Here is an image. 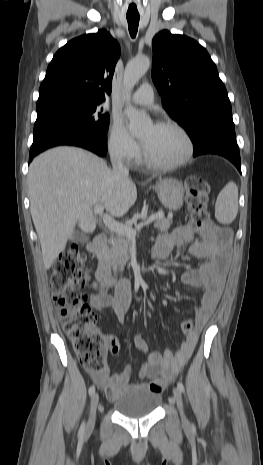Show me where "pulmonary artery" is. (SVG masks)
Listing matches in <instances>:
<instances>
[{"label": "pulmonary artery", "instance_id": "1", "mask_svg": "<svg viewBox=\"0 0 263 465\" xmlns=\"http://www.w3.org/2000/svg\"><path fill=\"white\" fill-rule=\"evenodd\" d=\"M154 100L153 88L150 84H142L132 95V101L138 105H149Z\"/></svg>", "mask_w": 263, "mask_h": 465}]
</instances>
